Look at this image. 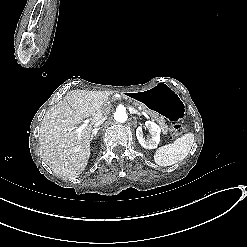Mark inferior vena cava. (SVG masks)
Instances as JSON below:
<instances>
[{"mask_svg":"<svg viewBox=\"0 0 247 247\" xmlns=\"http://www.w3.org/2000/svg\"><path fill=\"white\" fill-rule=\"evenodd\" d=\"M107 119V117H101L95 124H94V129L98 128L99 126H101L104 121Z\"/></svg>","mask_w":247,"mask_h":247,"instance_id":"obj_1","label":"inferior vena cava"}]
</instances>
